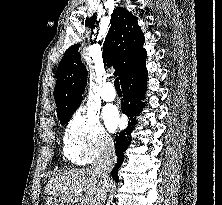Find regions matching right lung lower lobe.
<instances>
[{"mask_svg": "<svg viewBox=\"0 0 222 205\" xmlns=\"http://www.w3.org/2000/svg\"><path fill=\"white\" fill-rule=\"evenodd\" d=\"M147 69L146 67L136 74L128 77L121 83L123 91V100L121 101V109L129 118L128 127L116 135V155L117 163L111 172V176L115 182H119L117 175L118 169L124 160V151L130 144V134L136 124L134 116L144 108V103L140 102L145 96L147 90Z\"/></svg>", "mask_w": 222, "mask_h": 205, "instance_id": "98d812e1", "label": "right lung lower lobe"}]
</instances>
